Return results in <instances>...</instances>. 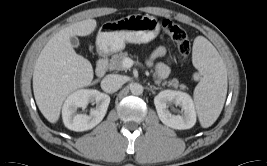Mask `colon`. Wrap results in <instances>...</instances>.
<instances>
[{"instance_id": "obj_1", "label": "colon", "mask_w": 267, "mask_h": 166, "mask_svg": "<svg viewBox=\"0 0 267 166\" xmlns=\"http://www.w3.org/2000/svg\"><path fill=\"white\" fill-rule=\"evenodd\" d=\"M162 30L164 34L171 37L176 43L179 53L184 58H187L190 53L191 45L184 28L170 19H165L162 21Z\"/></svg>"}]
</instances>
